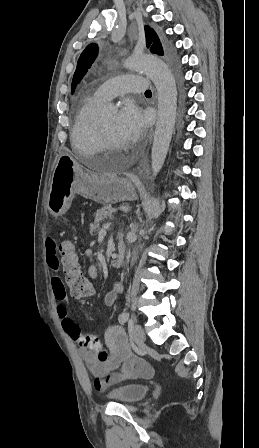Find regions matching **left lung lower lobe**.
<instances>
[{"label": "left lung lower lobe", "mask_w": 259, "mask_h": 448, "mask_svg": "<svg viewBox=\"0 0 259 448\" xmlns=\"http://www.w3.org/2000/svg\"><path fill=\"white\" fill-rule=\"evenodd\" d=\"M172 63L177 68L178 76L181 77V73H180L179 68H178V60L176 58H172Z\"/></svg>", "instance_id": "1"}]
</instances>
